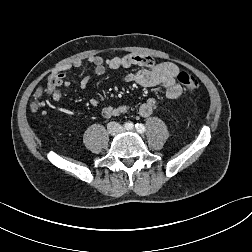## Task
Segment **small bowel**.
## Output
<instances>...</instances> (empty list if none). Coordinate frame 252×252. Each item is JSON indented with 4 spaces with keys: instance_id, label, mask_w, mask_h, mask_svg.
Wrapping results in <instances>:
<instances>
[{
    "instance_id": "1",
    "label": "small bowel",
    "mask_w": 252,
    "mask_h": 252,
    "mask_svg": "<svg viewBox=\"0 0 252 252\" xmlns=\"http://www.w3.org/2000/svg\"><path fill=\"white\" fill-rule=\"evenodd\" d=\"M94 67V72L97 75L105 73L106 68L117 70L120 68L139 67L136 72L128 73L124 76L123 80L126 82L136 83L143 87L163 86L166 89V97L168 99H177L182 94V86L177 82V75L179 72L178 66L172 62L157 63L152 57L129 53L119 57H113L110 59H104L98 55H91L86 59ZM82 60H75L72 64L64 65L57 72L51 74L48 77L47 94L55 101L60 102L62 94L60 87L70 86L69 81H64V70L70 67L82 66ZM90 81V75L83 76L80 81V89L84 90ZM156 100L152 97L142 102L138 111L143 117H148L152 114ZM129 110L128 105L120 106H107L101 111V114L105 118L119 116L126 113Z\"/></svg>"
}]
</instances>
